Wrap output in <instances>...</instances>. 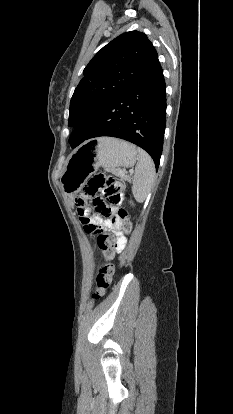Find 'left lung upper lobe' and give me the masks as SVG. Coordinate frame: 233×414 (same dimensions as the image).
Listing matches in <instances>:
<instances>
[{"label": "left lung upper lobe", "mask_w": 233, "mask_h": 414, "mask_svg": "<svg viewBox=\"0 0 233 414\" xmlns=\"http://www.w3.org/2000/svg\"><path fill=\"white\" fill-rule=\"evenodd\" d=\"M158 59L144 33H123L104 46L85 67L71 98L70 127H77L107 101L138 80Z\"/></svg>", "instance_id": "left-lung-upper-lobe-1"}]
</instances>
